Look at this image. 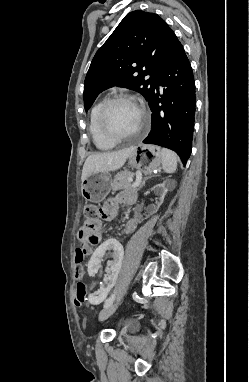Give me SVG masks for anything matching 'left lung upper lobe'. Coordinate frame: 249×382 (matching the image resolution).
Instances as JSON below:
<instances>
[{"mask_svg":"<svg viewBox=\"0 0 249 382\" xmlns=\"http://www.w3.org/2000/svg\"><path fill=\"white\" fill-rule=\"evenodd\" d=\"M177 41L157 14L128 13L91 62L84 83L85 110L99 93L113 86L135 90L148 101Z\"/></svg>","mask_w":249,"mask_h":382,"instance_id":"left-lung-upper-lobe-1","label":"left lung upper lobe"}]
</instances>
